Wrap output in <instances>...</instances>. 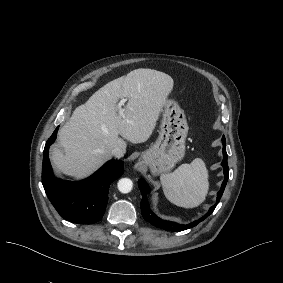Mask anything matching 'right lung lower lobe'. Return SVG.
<instances>
[{"label": "right lung lower lobe", "instance_id": "98d812e1", "mask_svg": "<svg viewBox=\"0 0 283 283\" xmlns=\"http://www.w3.org/2000/svg\"><path fill=\"white\" fill-rule=\"evenodd\" d=\"M58 128L59 126L44 148L42 183L45 192L64 219L78 224L98 222L106 210L109 185L123 174L124 163L119 160L108 161L92 176L79 182L56 179L48 158V150L56 139Z\"/></svg>", "mask_w": 283, "mask_h": 283}]
</instances>
